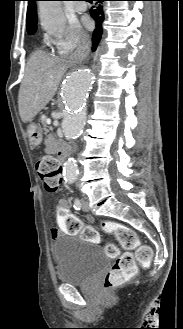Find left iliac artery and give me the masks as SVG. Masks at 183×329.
<instances>
[{"label": "left iliac artery", "mask_w": 183, "mask_h": 329, "mask_svg": "<svg viewBox=\"0 0 183 329\" xmlns=\"http://www.w3.org/2000/svg\"><path fill=\"white\" fill-rule=\"evenodd\" d=\"M73 207L75 208V210L81 209V202H80L79 198H75Z\"/></svg>", "instance_id": "44dca946"}]
</instances>
